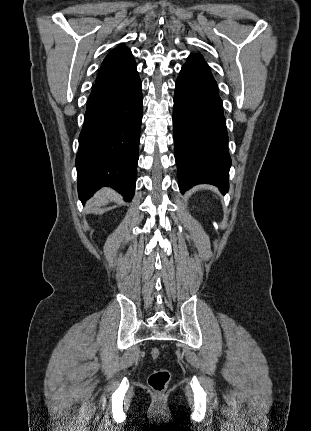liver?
<instances>
[{
	"mask_svg": "<svg viewBox=\"0 0 311 431\" xmlns=\"http://www.w3.org/2000/svg\"><path fill=\"white\" fill-rule=\"evenodd\" d=\"M110 196V190H108V188H104V190H100L98 194H95L93 200H90L89 204L92 208H94V206H106V204H109Z\"/></svg>",
	"mask_w": 311,
	"mask_h": 431,
	"instance_id": "liver-1",
	"label": "liver"
}]
</instances>
